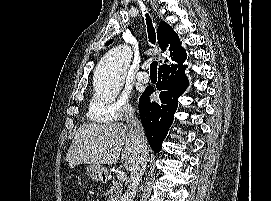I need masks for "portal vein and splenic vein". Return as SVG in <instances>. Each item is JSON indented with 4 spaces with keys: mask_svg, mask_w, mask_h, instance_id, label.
<instances>
[{
    "mask_svg": "<svg viewBox=\"0 0 271 201\" xmlns=\"http://www.w3.org/2000/svg\"><path fill=\"white\" fill-rule=\"evenodd\" d=\"M117 178L119 181H124L126 179V173L123 171H120L117 175Z\"/></svg>",
    "mask_w": 271,
    "mask_h": 201,
    "instance_id": "obj_1",
    "label": "portal vein and splenic vein"
}]
</instances>
